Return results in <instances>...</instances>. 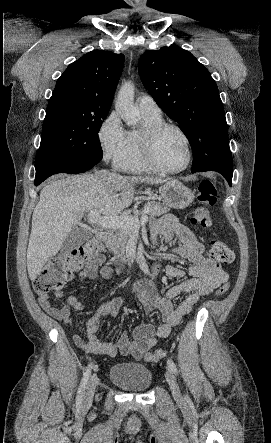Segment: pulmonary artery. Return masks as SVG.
<instances>
[{
    "label": "pulmonary artery",
    "instance_id": "pulmonary-artery-1",
    "mask_svg": "<svg viewBox=\"0 0 271 443\" xmlns=\"http://www.w3.org/2000/svg\"><path fill=\"white\" fill-rule=\"evenodd\" d=\"M137 104L142 115L158 116L161 114V109L150 95L143 94L139 96Z\"/></svg>",
    "mask_w": 271,
    "mask_h": 443
}]
</instances>
